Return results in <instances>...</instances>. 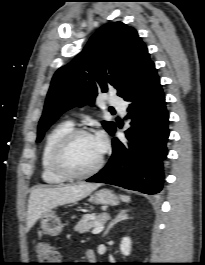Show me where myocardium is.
Listing matches in <instances>:
<instances>
[{
    "label": "myocardium",
    "instance_id": "1",
    "mask_svg": "<svg viewBox=\"0 0 205 265\" xmlns=\"http://www.w3.org/2000/svg\"><path fill=\"white\" fill-rule=\"evenodd\" d=\"M80 136H91L94 137L91 132L82 128H73L64 134L59 141L54 146L51 156L50 164L55 173L59 176L68 179V180H83L87 179L100 171L104 163V155L101 153V156L98 162L89 170L76 173L71 171L64 163L65 153L71 144V142Z\"/></svg>",
    "mask_w": 205,
    "mask_h": 265
}]
</instances>
